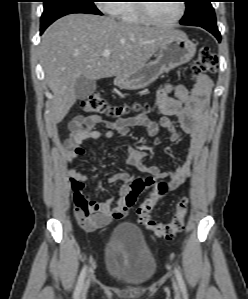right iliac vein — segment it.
<instances>
[{
    "mask_svg": "<svg viewBox=\"0 0 248 299\" xmlns=\"http://www.w3.org/2000/svg\"><path fill=\"white\" fill-rule=\"evenodd\" d=\"M88 288H89V280L86 281V283L83 287V294H85L87 292Z\"/></svg>",
    "mask_w": 248,
    "mask_h": 299,
    "instance_id": "63e3f726",
    "label": "right iliac vein"
}]
</instances>
